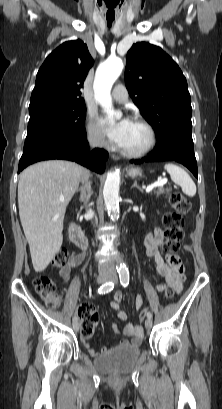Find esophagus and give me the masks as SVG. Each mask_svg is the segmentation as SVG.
<instances>
[{
  "mask_svg": "<svg viewBox=\"0 0 222 409\" xmlns=\"http://www.w3.org/2000/svg\"><path fill=\"white\" fill-rule=\"evenodd\" d=\"M111 157H112V159L115 160V161L119 160V156L116 155V154H112Z\"/></svg>",
  "mask_w": 222,
  "mask_h": 409,
  "instance_id": "34e87169",
  "label": "esophagus"
}]
</instances>
